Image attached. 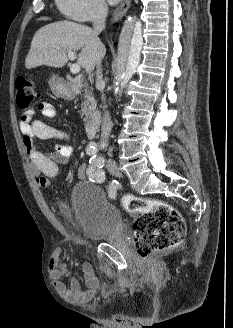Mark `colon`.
<instances>
[{"mask_svg":"<svg viewBox=\"0 0 233 328\" xmlns=\"http://www.w3.org/2000/svg\"><path fill=\"white\" fill-rule=\"evenodd\" d=\"M16 101L19 109H27L36 98L33 83L24 76L15 81ZM123 206L136 216L134 223V244L141 258L171 248L180 243L186 231L181 214L167 203L126 196Z\"/></svg>","mask_w":233,"mask_h":328,"instance_id":"1","label":"colon"}]
</instances>
